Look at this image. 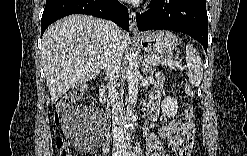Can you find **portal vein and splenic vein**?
Wrapping results in <instances>:
<instances>
[{"mask_svg": "<svg viewBox=\"0 0 247 156\" xmlns=\"http://www.w3.org/2000/svg\"><path fill=\"white\" fill-rule=\"evenodd\" d=\"M146 61H147V59H146ZM148 62V61H147ZM174 65L176 66V67H180L181 69H184L185 67H182L181 65H180V62H174Z\"/></svg>", "mask_w": 247, "mask_h": 156, "instance_id": "obj_1", "label": "portal vein and splenic vein"}]
</instances>
